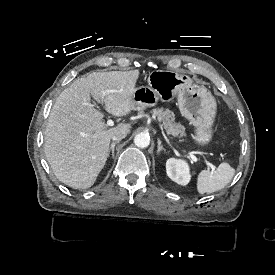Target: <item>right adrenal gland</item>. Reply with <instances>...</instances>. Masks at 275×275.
Here are the masks:
<instances>
[{
  "label": "right adrenal gland",
  "instance_id": "right-adrenal-gland-1",
  "mask_svg": "<svg viewBox=\"0 0 275 275\" xmlns=\"http://www.w3.org/2000/svg\"><path fill=\"white\" fill-rule=\"evenodd\" d=\"M119 142L120 141H114V142H112L111 147L109 149L108 158L110 157V153H111V157H112V159H114V148H115V145L118 144Z\"/></svg>",
  "mask_w": 275,
  "mask_h": 275
}]
</instances>
